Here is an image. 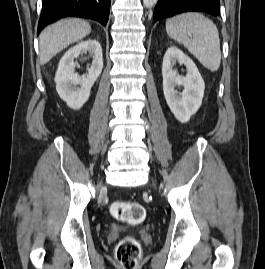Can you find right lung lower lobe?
Masks as SVG:
<instances>
[{"label": "right lung lower lobe", "instance_id": "right-lung-lower-lobe-1", "mask_svg": "<svg viewBox=\"0 0 265 269\" xmlns=\"http://www.w3.org/2000/svg\"><path fill=\"white\" fill-rule=\"evenodd\" d=\"M111 0H43L38 31L63 17H81L99 21L104 26L109 19Z\"/></svg>", "mask_w": 265, "mask_h": 269}]
</instances>
